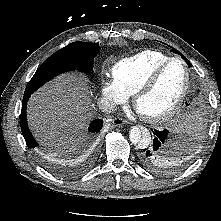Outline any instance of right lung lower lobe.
<instances>
[{"instance_id": "right-lung-lower-lobe-1", "label": "right lung lower lobe", "mask_w": 221, "mask_h": 221, "mask_svg": "<svg viewBox=\"0 0 221 221\" xmlns=\"http://www.w3.org/2000/svg\"><path fill=\"white\" fill-rule=\"evenodd\" d=\"M30 97V94L24 95L23 101H22V109H21V130L22 134L25 138L26 144L29 148L35 149L38 147L37 142L33 138L32 134L30 133V130L27 125V119H26V105L27 101ZM103 121L102 120H95L90 124L89 131L97 133L102 128Z\"/></svg>"}]
</instances>
